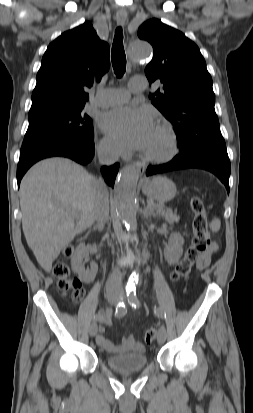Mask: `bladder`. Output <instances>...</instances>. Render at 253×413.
Here are the masks:
<instances>
[{"mask_svg": "<svg viewBox=\"0 0 253 413\" xmlns=\"http://www.w3.org/2000/svg\"><path fill=\"white\" fill-rule=\"evenodd\" d=\"M108 366L119 372H131L143 369L148 359L144 351L138 350L121 354L110 355L106 358Z\"/></svg>", "mask_w": 253, "mask_h": 413, "instance_id": "31cf9c89", "label": "bladder"}]
</instances>
